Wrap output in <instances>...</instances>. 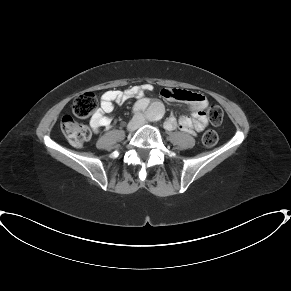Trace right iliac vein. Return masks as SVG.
<instances>
[{
	"label": "right iliac vein",
	"mask_w": 291,
	"mask_h": 291,
	"mask_svg": "<svg viewBox=\"0 0 291 291\" xmlns=\"http://www.w3.org/2000/svg\"><path fill=\"white\" fill-rule=\"evenodd\" d=\"M139 127V121L137 118H133L127 125L128 131H135Z\"/></svg>",
	"instance_id": "obj_1"
}]
</instances>
